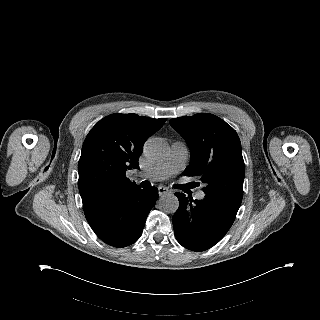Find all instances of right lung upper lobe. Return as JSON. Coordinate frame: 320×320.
I'll return each mask as SVG.
<instances>
[{
  "instance_id": "obj_1",
  "label": "right lung upper lobe",
  "mask_w": 320,
  "mask_h": 320,
  "mask_svg": "<svg viewBox=\"0 0 320 320\" xmlns=\"http://www.w3.org/2000/svg\"><path fill=\"white\" fill-rule=\"evenodd\" d=\"M164 122L136 114H112L90 130L78 163L84 209L137 187L126 177V170L139 168L146 139Z\"/></svg>"
}]
</instances>
